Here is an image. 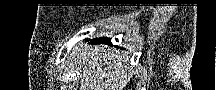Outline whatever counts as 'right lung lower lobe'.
<instances>
[{"label": "right lung lower lobe", "mask_w": 216, "mask_h": 90, "mask_svg": "<svg viewBox=\"0 0 216 90\" xmlns=\"http://www.w3.org/2000/svg\"><path fill=\"white\" fill-rule=\"evenodd\" d=\"M93 42H94V43L111 44L110 39H108L107 37L97 38V39L93 40Z\"/></svg>", "instance_id": "obj_1"}]
</instances>
